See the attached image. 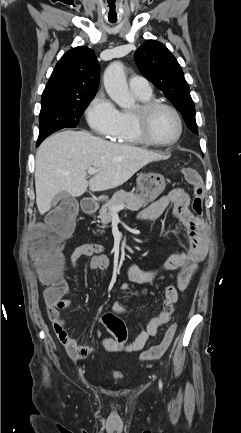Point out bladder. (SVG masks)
Listing matches in <instances>:
<instances>
[{"label": "bladder", "instance_id": "31cf9c89", "mask_svg": "<svg viewBox=\"0 0 241 433\" xmlns=\"http://www.w3.org/2000/svg\"><path fill=\"white\" fill-rule=\"evenodd\" d=\"M117 379H121V377L120 376H115Z\"/></svg>", "mask_w": 241, "mask_h": 433}]
</instances>
